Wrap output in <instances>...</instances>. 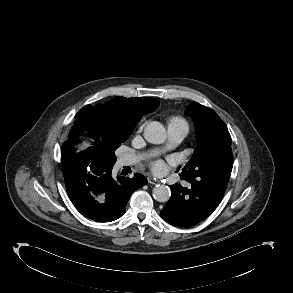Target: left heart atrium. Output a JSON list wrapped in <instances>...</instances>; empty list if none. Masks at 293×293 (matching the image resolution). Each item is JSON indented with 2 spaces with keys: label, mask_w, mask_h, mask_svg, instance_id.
Segmentation results:
<instances>
[{
  "label": "left heart atrium",
  "mask_w": 293,
  "mask_h": 293,
  "mask_svg": "<svg viewBox=\"0 0 293 293\" xmlns=\"http://www.w3.org/2000/svg\"><path fill=\"white\" fill-rule=\"evenodd\" d=\"M151 168L154 172L161 173L164 171L165 165H164L163 161L157 160V161H154L151 163Z\"/></svg>",
  "instance_id": "left-heart-atrium-1"
}]
</instances>
